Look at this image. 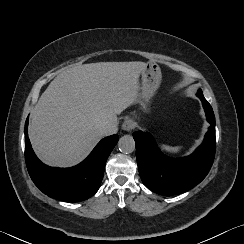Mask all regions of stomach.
<instances>
[{
    "label": "stomach",
    "mask_w": 244,
    "mask_h": 244,
    "mask_svg": "<svg viewBox=\"0 0 244 244\" xmlns=\"http://www.w3.org/2000/svg\"><path fill=\"white\" fill-rule=\"evenodd\" d=\"M162 81V73L159 65L155 62L146 63L141 71V106L147 111L151 98L155 95Z\"/></svg>",
    "instance_id": "stomach-1"
}]
</instances>
